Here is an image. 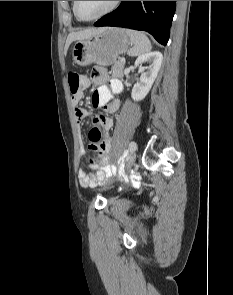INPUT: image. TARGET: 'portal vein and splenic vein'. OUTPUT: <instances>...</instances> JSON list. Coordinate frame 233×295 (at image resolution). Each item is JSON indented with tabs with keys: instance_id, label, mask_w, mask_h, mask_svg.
Masks as SVG:
<instances>
[{
	"instance_id": "obj_1",
	"label": "portal vein and splenic vein",
	"mask_w": 233,
	"mask_h": 295,
	"mask_svg": "<svg viewBox=\"0 0 233 295\" xmlns=\"http://www.w3.org/2000/svg\"><path fill=\"white\" fill-rule=\"evenodd\" d=\"M120 60L125 62V58H121Z\"/></svg>"
}]
</instances>
